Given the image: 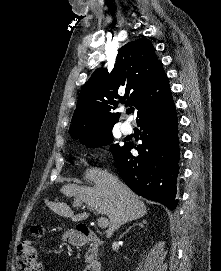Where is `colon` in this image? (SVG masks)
<instances>
[{"label": "colon", "instance_id": "5ec220e1", "mask_svg": "<svg viewBox=\"0 0 221 271\" xmlns=\"http://www.w3.org/2000/svg\"><path fill=\"white\" fill-rule=\"evenodd\" d=\"M31 232L34 236L40 237L44 234L45 229L42 225L37 224L32 227ZM18 269L19 271H42L38 252L34 244L29 240H23L17 248Z\"/></svg>", "mask_w": 221, "mask_h": 271}]
</instances>
